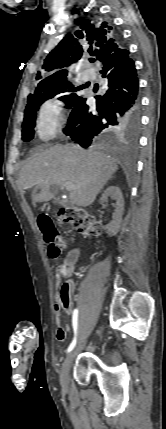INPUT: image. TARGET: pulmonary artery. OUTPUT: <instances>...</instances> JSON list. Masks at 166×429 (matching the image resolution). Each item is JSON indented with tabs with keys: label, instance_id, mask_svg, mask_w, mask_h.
Segmentation results:
<instances>
[{
	"label": "pulmonary artery",
	"instance_id": "pulmonary-artery-1",
	"mask_svg": "<svg viewBox=\"0 0 166 429\" xmlns=\"http://www.w3.org/2000/svg\"><path fill=\"white\" fill-rule=\"evenodd\" d=\"M90 63H87V69H85L84 74H85V81H88L90 79H93L95 76V73L92 69L89 68Z\"/></svg>",
	"mask_w": 166,
	"mask_h": 429
}]
</instances>
